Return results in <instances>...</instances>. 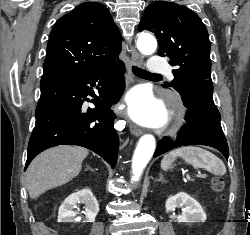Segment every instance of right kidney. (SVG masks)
Masks as SVG:
<instances>
[{"mask_svg": "<svg viewBox=\"0 0 250 235\" xmlns=\"http://www.w3.org/2000/svg\"><path fill=\"white\" fill-rule=\"evenodd\" d=\"M84 204V211L82 213L85 215L86 222H94L95 217L99 212V204L97 199L93 196L90 189L85 188L79 190L71 195H69L64 202L61 204L58 212V222H74L77 220V212L74 208L78 204Z\"/></svg>", "mask_w": 250, "mask_h": 235, "instance_id": "1", "label": "right kidney"}]
</instances>
